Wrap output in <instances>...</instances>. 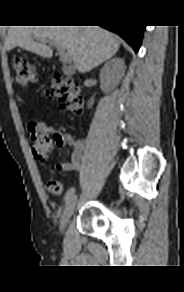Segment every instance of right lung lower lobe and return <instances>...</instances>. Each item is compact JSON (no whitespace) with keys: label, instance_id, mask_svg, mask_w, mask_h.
<instances>
[{"label":"right lung lower lobe","instance_id":"1","mask_svg":"<svg viewBox=\"0 0 184 292\" xmlns=\"http://www.w3.org/2000/svg\"><path fill=\"white\" fill-rule=\"evenodd\" d=\"M102 27L119 34L136 52L139 50L145 26L102 25Z\"/></svg>","mask_w":184,"mask_h":292}]
</instances>
